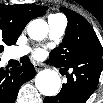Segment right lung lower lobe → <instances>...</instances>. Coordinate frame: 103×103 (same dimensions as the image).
I'll list each match as a JSON object with an SVG mask.
<instances>
[{"mask_svg":"<svg viewBox=\"0 0 103 103\" xmlns=\"http://www.w3.org/2000/svg\"><path fill=\"white\" fill-rule=\"evenodd\" d=\"M35 74L29 59L22 66L11 70L0 68V103H14L22 84L31 80Z\"/></svg>","mask_w":103,"mask_h":103,"instance_id":"obj_1","label":"right lung lower lobe"}]
</instances>
